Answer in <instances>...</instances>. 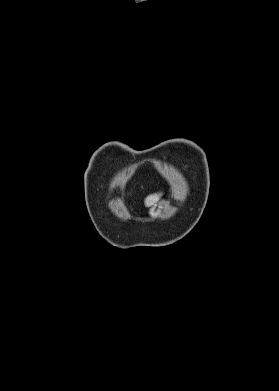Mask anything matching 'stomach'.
Returning a JSON list of instances; mask_svg holds the SVG:
<instances>
[{"label":"stomach","instance_id":"0dacf381","mask_svg":"<svg viewBox=\"0 0 279 391\" xmlns=\"http://www.w3.org/2000/svg\"><path fill=\"white\" fill-rule=\"evenodd\" d=\"M164 205H165V202H164V201L155 203V204L151 207V209H150V211H149L150 217H151L152 219H155V218L161 216L162 211H163V209H164Z\"/></svg>","mask_w":279,"mask_h":391}]
</instances>
